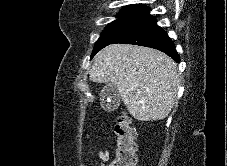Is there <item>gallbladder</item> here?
I'll return each mask as SVG.
<instances>
[{"instance_id": "1", "label": "gallbladder", "mask_w": 227, "mask_h": 166, "mask_svg": "<svg viewBox=\"0 0 227 166\" xmlns=\"http://www.w3.org/2000/svg\"><path fill=\"white\" fill-rule=\"evenodd\" d=\"M100 100L103 109L107 111L116 109L119 103V95L115 85H105L100 92Z\"/></svg>"}]
</instances>
